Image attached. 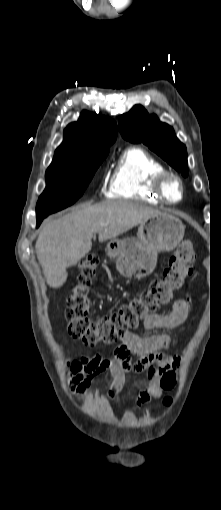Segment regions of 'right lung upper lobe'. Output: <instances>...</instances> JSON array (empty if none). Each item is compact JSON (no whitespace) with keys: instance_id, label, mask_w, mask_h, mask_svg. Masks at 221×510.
Instances as JSON below:
<instances>
[{"instance_id":"cb5924a9","label":"right lung upper lobe","mask_w":221,"mask_h":510,"mask_svg":"<svg viewBox=\"0 0 221 510\" xmlns=\"http://www.w3.org/2000/svg\"><path fill=\"white\" fill-rule=\"evenodd\" d=\"M116 136L113 120L83 111L80 119L64 130V141L56 149L53 162L109 151Z\"/></svg>"}]
</instances>
